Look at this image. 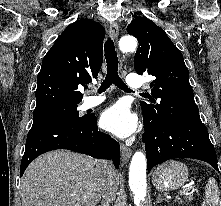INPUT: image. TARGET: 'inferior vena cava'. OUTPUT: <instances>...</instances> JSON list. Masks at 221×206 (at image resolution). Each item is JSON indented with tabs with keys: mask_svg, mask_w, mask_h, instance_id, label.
I'll list each match as a JSON object with an SVG mask.
<instances>
[{
	"mask_svg": "<svg viewBox=\"0 0 221 206\" xmlns=\"http://www.w3.org/2000/svg\"><path fill=\"white\" fill-rule=\"evenodd\" d=\"M119 181L117 173L108 161L104 162V176L101 183V193L104 203H110L115 200L116 192L118 189Z\"/></svg>",
	"mask_w": 221,
	"mask_h": 206,
	"instance_id": "inferior-vena-cava-1",
	"label": "inferior vena cava"
}]
</instances>
